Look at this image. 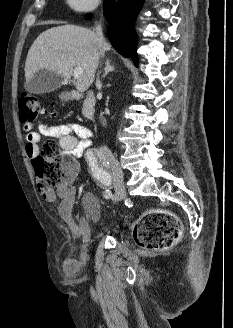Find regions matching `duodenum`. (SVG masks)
<instances>
[{"instance_id":"obj_1","label":"duodenum","mask_w":233,"mask_h":328,"mask_svg":"<svg viewBox=\"0 0 233 328\" xmlns=\"http://www.w3.org/2000/svg\"><path fill=\"white\" fill-rule=\"evenodd\" d=\"M71 97L77 99V98H80L81 95L78 93H73L71 95ZM82 114L88 120L93 121L95 119L96 100H95V96L92 92L86 93L83 98Z\"/></svg>"}]
</instances>
